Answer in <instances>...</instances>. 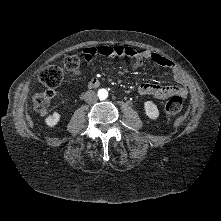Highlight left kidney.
<instances>
[{
    "instance_id": "5707ae66",
    "label": "left kidney",
    "mask_w": 221,
    "mask_h": 221,
    "mask_svg": "<svg viewBox=\"0 0 221 221\" xmlns=\"http://www.w3.org/2000/svg\"><path fill=\"white\" fill-rule=\"evenodd\" d=\"M145 114L152 120H155L159 116V110L156 104L152 101H146L144 103Z\"/></svg>"
}]
</instances>
